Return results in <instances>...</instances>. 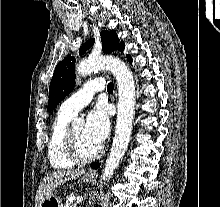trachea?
<instances>
[{
	"mask_svg": "<svg viewBox=\"0 0 220 207\" xmlns=\"http://www.w3.org/2000/svg\"><path fill=\"white\" fill-rule=\"evenodd\" d=\"M113 89H114V85L112 82L108 83L107 85V91L108 92H113Z\"/></svg>",
	"mask_w": 220,
	"mask_h": 207,
	"instance_id": "1",
	"label": "trachea"
}]
</instances>
